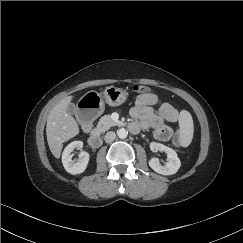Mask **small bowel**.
Returning a JSON list of instances; mask_svg holds the SVG:
<instances>
[{"instance_id": "obj_1", "label": "small bowel", "mask_w": 243, "mask_h": 243, "mask_svg": "<svg viewBox=\"0 0 243 243\" xmlns=\"http://www.w3.org/2000/svg\"><path fill=\"white\" fill-rule=\"evenodd\" d=\"M155 106L158 107L157 111L154 109ZM130 114L134 119L129 126L131 132L151 129L155 138L164 142L169 141L173 135L165 122L175 123L179 119L178 111L170 103L163 102L155 93L140 94Z\"/></svg>"}]
</instances>
